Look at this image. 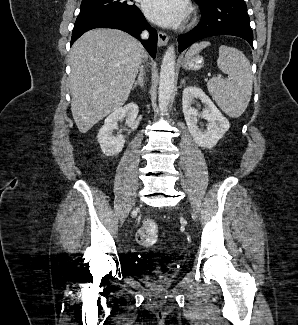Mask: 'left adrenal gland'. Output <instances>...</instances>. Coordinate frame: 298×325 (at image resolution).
Returning <instances> with one entry per match:
<instances>
[{
	"label": "left adrenal gland",
	"instance_id": "1",
	"mask_svg": "<svg viewBox=\"0 0 298 325\" xmlns=\"http://www.w3.org/2000/svg\"><path fill=\"white\" fill-rule=\"evenodd\" d=\"M185 82H186L185 78H182L181 84H185Z\"/></svg>",
	"mask_w": 298,
	"mask_h": 325
}]
</instances>
